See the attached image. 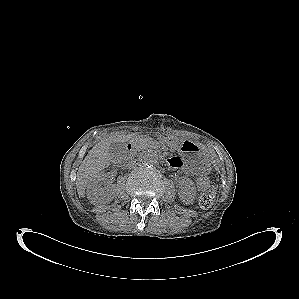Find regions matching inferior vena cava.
Masks as SVG:
<instances>
[{"instance_id":"1","label":"inferior vena cava","mask_w":299,"mask_h":299,"mask_svg":"<svg viewBox=\"0 0 299 299\" xmlns=\"http://www.w3.org/2000/svg\"><path fill=\"white\" fill-rule=\"evenodd\" d=\"M138 165V163L136 162V161H130L129 163H128V166L129 167H135V166H137Z\"/></svg>"}]
</instances>
